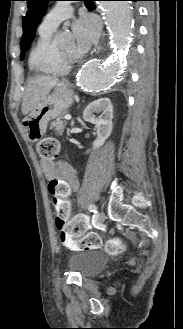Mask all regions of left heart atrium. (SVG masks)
<instances>
[{
	"instance_id": "1",
	"label": "left heart atrium",
	"mask_w": 183,
	"mask_h": 329,
	"mask_svg": "<svg viewBox=\"0 0 183 329\" xmlns=\"http://www.w3.org/2000/svg\"><path fill=\"white\" fill-rule=\"evenodd\" d=\"M76 39V48L79 53L87 51L98 39L100 25L93 16H84L72 25Z\"/></svg>"
}]
</instances>
